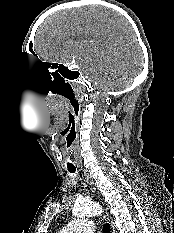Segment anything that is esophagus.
<instances>
[{
    "label": "esophagus",
    "mask_w": 174,
    "mask_h": 233,
    "mask_svg": "<svg viewBox=\"0 0 174 233\" xmlns=\"http://www.w3.org/2000/svg\"><path fill=\"white\" fill-rule=\"evenodd\" d=\"M86 179H87V181L89 180L88 177H87ZM89 183H90V185L93 187V182L90 181ZM93 189L95 190L94 187H93ZM105 218H106V220H107V221L109 222V224H110V232H111V233H116V232H115L114 225H113V222L111 221V219H110L107 215H105Z\"/></svg>",
    "instance_id": "obj_1"
}]
</instances>
